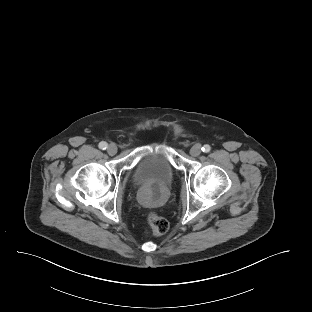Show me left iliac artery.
<instances>
[{
  "label": "left iliac artery",
  "mask_w": 312,
  "mask_h": 312,
  "mask_svg": "<svg viewBox=\"0 0 312 312\" xmlns=\"http://www.w3.org/2000/svg\"><path fill=\"white\" fill-rule=\"evenodd\" d=\"M201 149H202L203 152L208 153V152H210L211 147L206 144Z\"/></svg>",
  "instance_id": "1"
}]
</instances>
